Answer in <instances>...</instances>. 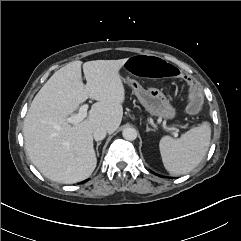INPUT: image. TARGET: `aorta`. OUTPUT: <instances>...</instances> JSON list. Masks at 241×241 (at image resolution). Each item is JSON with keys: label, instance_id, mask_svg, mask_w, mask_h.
Listing matches in <instances>:
<instances>
[{"label": "aorta", "instance_id": "762f6f07", "mask_svg": "<svg viewBox=\"0 0 241 241\" xmlns=\"http://www.w3.org/2000/svg\"><path fill=\"white\" fill-rule=\"evenodd\" d=\"M123 138L129 141H133L137 138V131L134 128L127 127L122 132Z\"/></svg>", "mask_w": 241, "mask_h": 241}]
</instances>
